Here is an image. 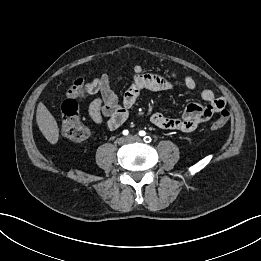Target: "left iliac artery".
I'll list each match as a JSON object with an SVG mask.
<instances>
[{"mask_svg": "<svg viewBox=\"0 0 261 261\" xmlns=\"http://www.w3.org/2000/svg\"><path fill=\"white\" fill-rule=\"evenodd\" d=\"M145 134H146L145 131H139V135H140V136H145ZM151 140H152V139H151L150 136H145V137H144V141H145L146 143H150Z\"/></svg>", "mask_w": 261, "mask_h": 261, "instance_id": "left-iliac-artery-1", "label": "left iliac artery"}]
</instances>
